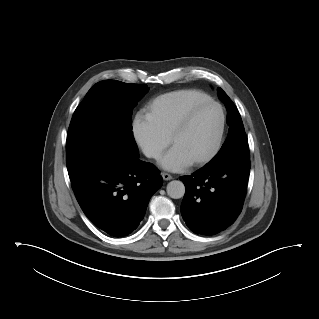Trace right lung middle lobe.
I'll return each instance as SVG.
<instances>
[{"label":"right lung middle lobe","instance_id":"1","mask_svg":"<svg viewBox=\"0 0 319 319\" xmlns=\"http://www.w3.org/2000/svg\"><path fill=\"white\" fill-rule=\"evenodd\" d=\"M148 91L146 85L106 80L95 84L76 108L66 140L70 179L107 151L138 154L132 134V109Z\"/></svg>","mask_w":319,"mask_h":319}]
</instances>
